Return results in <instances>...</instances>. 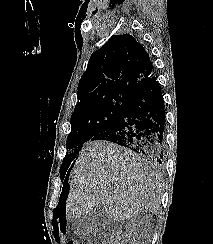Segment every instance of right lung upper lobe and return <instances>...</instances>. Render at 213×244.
Masks as SVG:
<instances>
[{
    "label": "right lung upper lobe",
    "mask_w": 213,
    "mask_h": 244,
    "mask_svg": "<svg viewBox=\"0 0 213 244\" xmlns=\"http://www.w3.org/2000/svg\"><path fill=\"white\" fill-rule=\"evenodd\" d=\"M145 47L130 34L114 35L95 51L78 85L75 108L108 95L133 97L153 77Z\"/></svg>",
    "instance_id": "right-lung-upper-lobe-1"
}]
</instances>
